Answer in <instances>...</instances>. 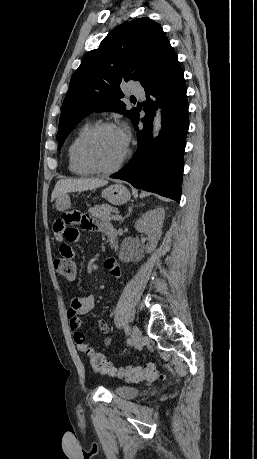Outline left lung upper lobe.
Returning <instances> with one entry per match:
<instances>
[{
  "mask_svg": "<svg viewBox=\"0 0 257 459\" xmlns=\"http://www.w3.org/2000/svg\"><path fill=\"white\" fill-rule=\"evenodd\" d=\"M173 50L161 26L148 17L117 26L83 58L73 74L62 105L59 148L75 126L94 111H115L134 119L120 99V84L137 80L142 86Z\"/></svg>",
  "mask_w": 257,
  "mask_h": 459,
  "instance_id": "obj_1",
  "label": "left lung upper lobe"
}]
</instances>
